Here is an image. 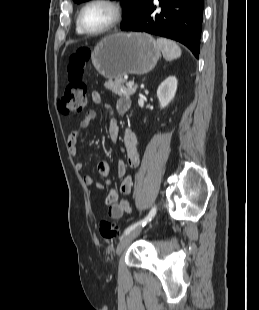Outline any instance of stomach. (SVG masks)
I'll use <instances>...</instances> for the list:
<instances>
[{
    "label": "stomach",
    "instance_id": "stomach-1",
    "mask_svg": "<svg viewBox=\"0 0 259 310\" xmlns=\"http://www.w3.org/2000/svg\"><path fill=\"white\" fill-rule=\"evenodd\" d=\"M161 56L157 42L145 33H114L94 48L91 60L95 69L109 79L151 71Z\"/></svg>",
    "mask_w": 259,
    "mask_h": 310
}]
</instances>
